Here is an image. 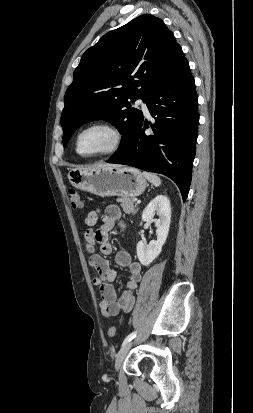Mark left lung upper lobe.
I'll return each instance as SVG.
<instances>
[{
    "instance_id": "left-lung-upper-lobe-1",
    "label": "left lung upper lobe",
    "mask_w": 253,
    "mask_h": 413,
    "mask_svg": "<svg viewBox=\"0 0 253 413\" xmlns=\"http://www.w3.org/2000/svg\"><path fill=\"white\" fill-rule=\"evenodd\" d=\"M179 48L164 22L150 14L102 36L83 54L65 93L61 116L64 147L78 127L102 118L122 133L118 152L124 150L143 118L129 100L147 102Z\"/></svg>"
}]
</instances>
